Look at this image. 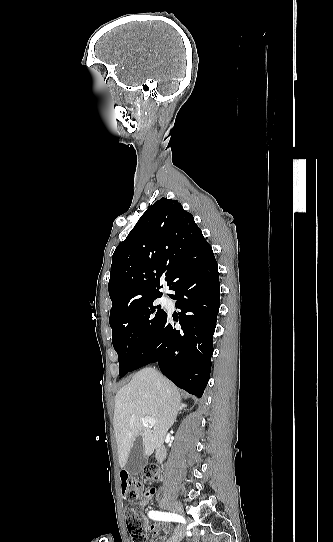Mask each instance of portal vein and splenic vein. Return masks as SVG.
Masks as SVG:
<instances>
[{
	"mask_svg": "<svg viewBox=\"0 0 333 542\" xmlns=\"http://www.w3.org/2000/svg\"><path fill=\"white\" fill-rule=\"evenodd\" d=\"M144 424H148V426H155L156 422L154 418H151V416H146V418H142Z\"/></svg>",
	"mask_w": 333,
	"mask_h": 542,
	"instance_id": "portal-vein-and-splenic-vein-1",
	"label": "portal vein and splenic vein"
}]
</instances>
